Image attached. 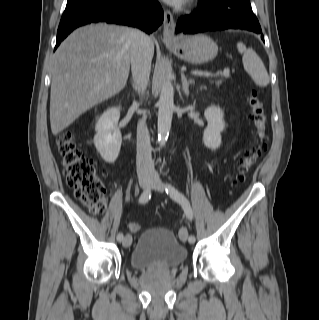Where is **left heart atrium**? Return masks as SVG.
I'll use <instances>...</instances> for the list:
<instances>
[{
	"label": "left heart atrium",
	"mask_w": 319,
	"mask_h": 320,
	"mask_svg": "<svg viewBox=\"0 0 319 320\" xmlns=\"http://www.w3.org/2000/svg\"><path fill=\"white\" fill-rule=\"evenodd\" d=\"M171 5H180L184 0H164Z\"/></svg>",
	"instance_id": "39dd6f15"
}]
</instances>
